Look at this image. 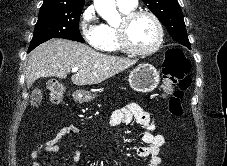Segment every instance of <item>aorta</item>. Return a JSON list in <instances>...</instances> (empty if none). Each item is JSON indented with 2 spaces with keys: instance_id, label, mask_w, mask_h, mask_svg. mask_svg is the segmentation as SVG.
Here are the masks:
<instances>
[{
  "instance_id": "aorta-1",
  "label": "aorta",
  "mask_w": 227,
  "mask_h": 166,
  "mask_svg": "<svg viewBox=\"0 0 227 166\" xmlns=\"http://www.w3.org/2000/svg\"><path fill=\"white\" fill-rule=\"evenodd\" d=\"M98 14L109 24L119 21L120 15L116 10L115 0H94Z\"/></svg>"
}]
</instances>
